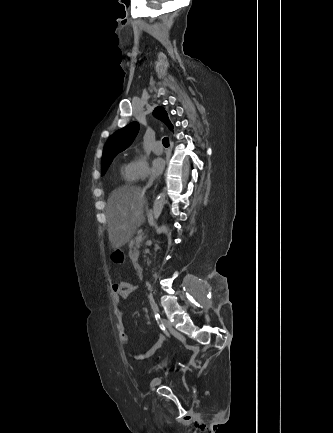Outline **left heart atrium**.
<instances>
[{"label": "left heart atrium", "mask_w": 333, "mask_h": 433, "mask_svg": "<svg viewBox=\"0 0 333 433\" xmlns=\"http://www.w3.org/2000/svg\"><path fill=\"white\" fill-rule=\"evenodd\" d=\"M152 168L155 175H159L164 168V161L161 158H155L152 162Z\"/></svg>", "instance_id": "left-heart-atrium-1"}]
</instances>
